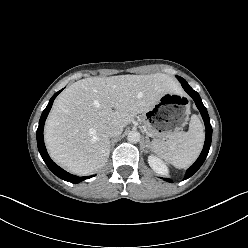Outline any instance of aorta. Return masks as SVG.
I'll return each instance as SVG.
<instances>
[{"instance_id": "obj_1", "label": "aorta", "mask_w": 248, "mask_h": 248, "mask_svg": "<svg viewBox=\"0 0 248 248\" xmlns=\"http://www.w3.org/2000/svg\"><path fill=\"white\" fill-rule=\"evenodd\" d=\"M140 133L138 131H130L128 133L127 139L131 143H137L140 141Z\"/></svg>"}]
</instances>
